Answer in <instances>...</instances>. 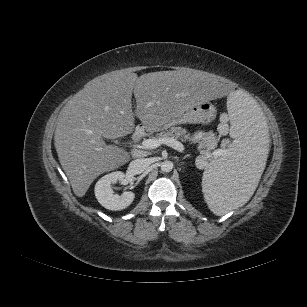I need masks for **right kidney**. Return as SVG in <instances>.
<instances>
[{
	"mask_svg": "<svg viewBox=\"0 0 307 307\" xmlns=\"http://www.w3.org/2000/svg\"><path fill=\"white\" fill-rule=\"evenodd\" d=\"M125 174L121 171L109 173L99 179L95 185V196L98 202L106 209L117 211L127 208L133 202V192H123L121 195L114 194L112 184L123 181Z\"/></svg>",
	"mask_w": 307,
	"mask_h": 307,
	"instance_id": "1",
	"label": "right kidney"
}]
</instances>
